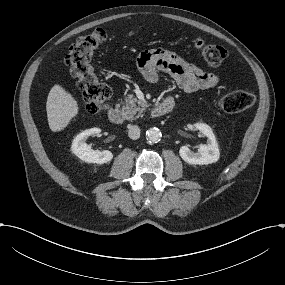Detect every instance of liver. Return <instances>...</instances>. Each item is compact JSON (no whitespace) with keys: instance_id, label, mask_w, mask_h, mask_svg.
<instances>
[{"instance_id":"1","label":"liver","mask_w":285,"mask_h":285,"mask_svg":"<svg viewBox=\"0 0 285 285\" xmlns=\"http://www.w3.org/2000/svg\"><path fill=\"white\" fill-rule=\"evenodd\" d=\"M79 103L61 84H54L48 94L46 112L49 128L57 133L66 129L78 116Z\"/></svg>"}]
</instances>
